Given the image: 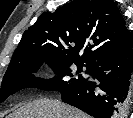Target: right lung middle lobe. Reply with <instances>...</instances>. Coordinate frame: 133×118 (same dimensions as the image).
<instances>
[{
	"label": "right lung middle lobe",
	"mask_w": 133,
	"mask_h": 118,
	"mask_svg": "<svg viewBox=\"0 0 133 118\" xmlns=\"http://www.w3.org/2000/svg\"><path fill=\"white\" fill-rule=\"evenodd\" d=\"M44 63L48 64L56 74L53 78L43 79L34 75ZM74 64L77 66V69L73 67ZM83 66L90 73V67L83 63L68 62L54 58L39 60L18 68L7 69L0 89V102L24 88L63 92L72 87L82 85L87 82V79H84L80 74Z\"/></svg>",
	"instance_id": "right-lung-middle-lobe-1"
}]
</instances>
